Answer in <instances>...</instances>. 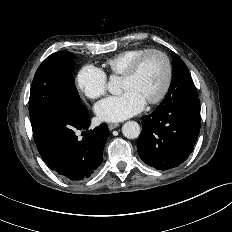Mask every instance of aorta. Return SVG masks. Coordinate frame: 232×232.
<instances>
[{
	"label": "aorta",
	"mask_w": 232,
	"mask_h": 232,
	"mask_svg": "<svg viewBox=\"0 0 232 232\" xmlns=\"http://www.w3.org/2000/svg\"><path fill=\"white\" fill-rule=\"evenodd\" d=\"M108 90L110 93L117 95L121 92L119 79L115 76L110 77L108 82ZM140 125L135 121H128L122 126V133L128 139H135L140 135Z\"/></svg>",
	"instance_id": "762f6f07"
}]
</instances>
